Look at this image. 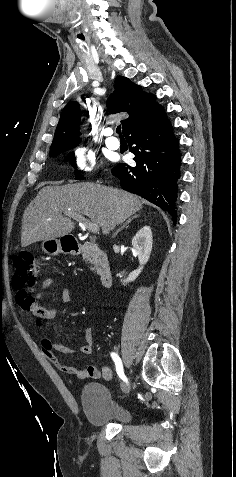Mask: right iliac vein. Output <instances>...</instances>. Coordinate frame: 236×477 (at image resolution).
Wrapping results in <instances>:
<instances>
[{"label": "right iliac vein", "mask_w": 236, "mask_h": 477, "mask_svg": "<svg viewBox=\"0 0 236 477\" xmlns=\"http://www.w3.org/2000/svg\"><path fill=\"white\" fill-rule=\"evenodd\" d=\"M118 389H122V390H123V397H122V398H117L118 400H120V399H121V400L125 399L126 397H128V396L130 395V392L133 391V390L131 389V386H130V385H127V386H126L125 384L119 385V386H118ZM126 389H127L129 392H126V391H127ZM125 392H126V393H125Z\"/></svg>", "instance_id": "right-iliac-vein-1"}]
</instances>
